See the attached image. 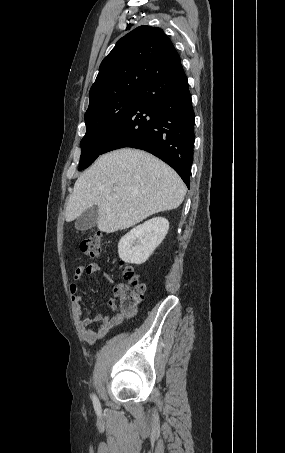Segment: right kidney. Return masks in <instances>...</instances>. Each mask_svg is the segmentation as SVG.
I'll return each instance as SVG.
<instances>
[{"label": "right kidney", "instance_id": "obj_1", "mask_svg": "<svg viewBox=\"0 0 285 453\" xmlns=\"http://www.w3.org/2000/svg\"><path fill=\"white\" fill-rule=\"evenodd\" d=\"M169 222L155 217L134 227L118 243L120 259L131 264L144 263L165 238Z\"/></svg>", "mask_w": 285, "mask_h": 453}]
</instances>
